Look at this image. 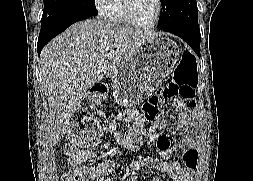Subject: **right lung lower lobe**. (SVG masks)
Returning <instances> with one entry per match:
<instances>
[{
	"label": "right lung lower lobe",
	"mask_w": 253,
	"mask_h": 181,
	"mask_svg": "<svg viewBox=\"0 0 253 181\" xmlns=\"http://www.w3.org/2000/svg\"><path fill=\"white\" fill-rule=\"evenodd\" d=\"M90 16L92 15L84 14V13L72 14L63 19L55 21L53 23L41 26L40 34L38 37V43H37L38 55H40L41 50L45 46V44L49 42L52 38H54L56 35L63 32L71 24L77 21L87 19Z\"/></svg>",
	"instance_id": "right-lung-lower-lobe-1"
}]
</instances>
